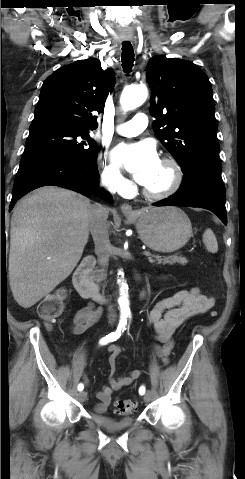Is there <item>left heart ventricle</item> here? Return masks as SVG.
Listing matches in <instances>:
<instances>
[{
  "label": "left heart ventricle",
  "instance_id": "left-heart-ventricle-1",
  "mask_svg": "<svg viewBox=\"0 0 245 479\" xmlns=\"http://www.w3.org/2000/svg\"><path fill=\"white\" fill-rule=\"evenodd\" d=\"M170 169L168 166L160 162L156 172L152 176L148 184L145 185V188L152 191H160L164 189L170 182Z\"/></svg>",
  "mask_w": 245,
  "mask_h": 479
}]
</instances>
